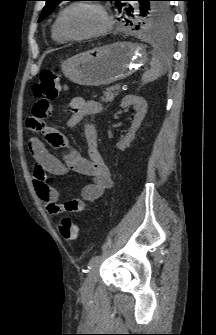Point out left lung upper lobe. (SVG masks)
I'll list each match as a JSON object with an SVG mask.
<instances>
[{
  "mask_svg": "<svg viewBox=\"0 0 216 335\" xmlns=\"http://www.w3.org/2000/svg\"><path fill=\"white\" fill-rule=\"evenodd\" d=\"M46 5L42 10L38 22L42 21L45 17L53 12L57 5L64 0H44ZM114 1L118 11L122 14L136 19L138 25L136 29L146 32L170 36L172 34L173 18L170 6L167 1L169 0H134L139 2L138 7H132L128 1L130 0H109ZM124 20L130 25L132 22L126 18Z\"/></svg>",
  "mask_w": 216,
  "mask_h": 335,
  "instance_id": "1",
  "label": "left lung upper lobe"
}]
</instances>
